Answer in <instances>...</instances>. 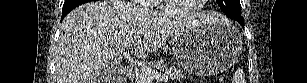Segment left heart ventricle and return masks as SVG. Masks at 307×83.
I'll list each match as a JSON object with an SVG mask.
<instances>
[{
	"label": "left heart ventricle",
	"mask_w": 307,
	"mask_h": 83,
	"mask_svg": "<svg viewBox=\"0 0 307 83\" xmlns=\"http://www.w3.org/2000/svg\"><path fill=\"white\" fill-rule=\"evenodd\" d=\"M199 0H171L170 3L175 8H183V7H192L195 3H198Z\"/></svg>",
	"instance_id": "left-heart-ventricle-1"
}]
</instances>
